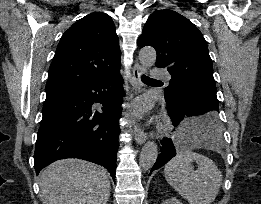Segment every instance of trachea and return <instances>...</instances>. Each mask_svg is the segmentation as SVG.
Returning <instances> with one entry per match:
<instances>
[{
	"instance_id": "3493384b",
	"label": "trachea",
	"mask_w": 261,
	"mask_h": 204,
	"mask_svg": "<svg viewBox=\"0 0 261 204\" xmlns=\"http://www.w3.org/2000/svg\"><path fill=\"white\" fill-rule=\"evenodd\" d=\"M141 78H142V81H143V82L157 81V80L152 79V78H150V77H147V76H145V75H143Z\"/></svg>"
}]
</instances>
